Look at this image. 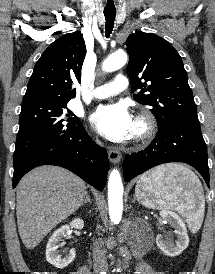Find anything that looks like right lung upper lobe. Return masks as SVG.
<instances>
[{
	"label": "right lung upper lobe",
	"mask_w": 215,
	"mask_h": 274,
	"mask_svg": "<svg viewBox=\"0 0 215 274\" xmlns=\"http://www.w3.org/2000/svg\"><path fill=\"white\" fill-rule=\"evenodd\" d=\"M86 47L80 32L54 41L37 61L22 105L35 101H69L76 96L74 83L81 81Z\"/></svg>",
	"instance_id": "obj_1"
}]
</instances>
